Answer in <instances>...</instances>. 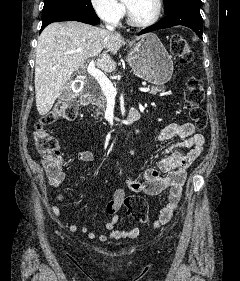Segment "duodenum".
Wrapping results in <instances>:
<instances>
[{"mask_svg": "<svg viewBox=\"0 0 240 281\" xmlns=\"http://www.w3.org/2000/svg\"><path fill=\"white\" fill-rule=\"evenodd\" d=\"M91 101H92V97L91 95L89 94H84L81 96L80 98V105L82 107H87L91 104ZM141 118V114L139 112V110L135 109V108H132L128 111L125 119H124V123L125 124H130L138 119Z\"/></svg>", "mask_w": 240, "mask_h": 281, "instance_id": "1", "label": "duodenum"}]
</instances>
